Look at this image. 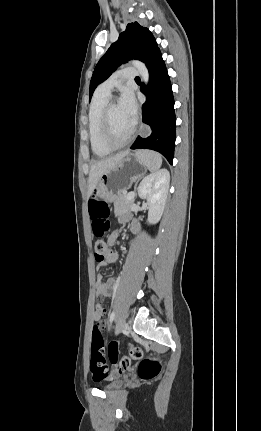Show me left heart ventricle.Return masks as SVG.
Returning <instances> with one entry per match:
<instances>
[{
  "label": "left heart ventricle",
  "instance_id": "left-heart-ventricle-1",
  "mask_svg": "<svg viewBox=\"0 0 261 431\" xmlns=\"http://www.w3.org/2000/svg\"><path fill=\"white\" fill-rule=\"evenodd\" d=\"M110 125L116 140H123L129 134L133 125L122 112L118 104H114L110 111Z\"/></svg>",
  "mask_w": 261,
  "mask_h": 431
}]
</instances>
